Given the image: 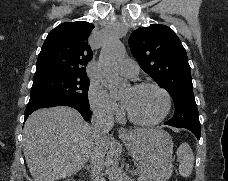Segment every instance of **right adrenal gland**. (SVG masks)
Returning <instances> with one entry per match:
<instances>
[{
	"label": "right adrenal gland",
	"mask_w": 228,
	"mask_h": 181,
	"mask_svg": "<svg viewBox=\"0 0 228 181\" xmlns=\"http://www.w3.org/2000/svg\"><path fill=\"white\" fill-rule=\"evenodd\" d=\"M85 171H90L89 167H84Z\"/></svg>",
	"instance_id": "1"
}]
</instances>
